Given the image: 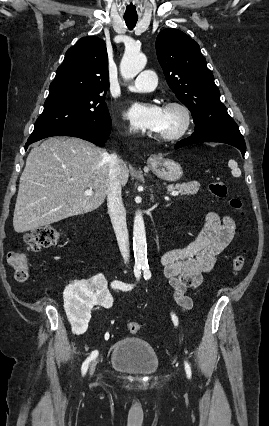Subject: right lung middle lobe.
Masks as SVG:
<instances>
[{
    "instance_id": "1",
    "label": "right lung middle lobe",
    "mask_w": 269,
    "mask_h": 426,
    "mask_svg": "<svg viewBox=\"0 0 269 426\" xmlns=\"http://www.w3.org/2000/svg\"><path fill=\"white\" fill-rule=\"evenodd\" d=\"M105 93L62 90L49 93L29 140L68 130L82 124L106 125L111 122L104 102Z\"/></svg>"
}]
</instances>
